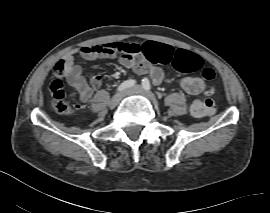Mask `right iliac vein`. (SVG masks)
<instances>
[{
    "mask_svg": "<svg viewBox=\"0 0 270 213\" xmlns=\"http://www.w3.org/2000/svg\"><path fill=\"white\" fill-rule=\"evenodd\" d=\"M122 97H123V93L117 92L111 99L110 108H115L120 103Z\"/></svg>",
    "mask_w": 270,
    "mask_h": 213,
    "instance_id": "1",
    "label": "right iliac vein"
}]
</instances>
